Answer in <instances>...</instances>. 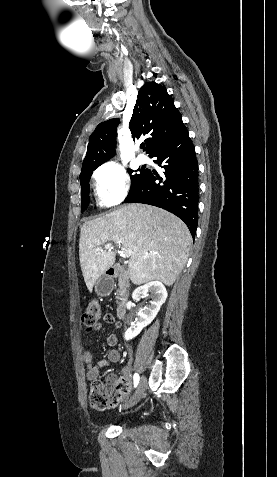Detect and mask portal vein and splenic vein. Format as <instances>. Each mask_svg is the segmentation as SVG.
<instances>
[{
    "label": "portal vein and splenic vein",
    "mask_w": 277,
    "mask_h": 477,
    "mask_svg": "<svg viewBox=\"0 0 277 477\" xmlns=\"http://www.w3.org/2000/svg\"><path fill=\"white\" fill-rule=\"evenodd\" d=\"M111 247H112V244L108 243L105 245L104 249H110ZM121 250H122V256L125 258L131 257L133 255V251L129 248L121 247ZM97 251L98 252L103 251V248H97Z\"/></svg>",
    "instance_id": "1"
}]
</instances>
